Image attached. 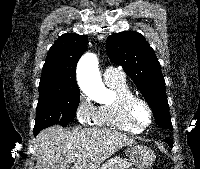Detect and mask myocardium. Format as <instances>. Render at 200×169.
I'll return each mask as SVG.
<instances>
[{
	"label": "myocardium",
	"instance_id": "obj_1",
	"mask_svg": "<svg viewBox=\"0 0 200 169\" xmlns=\"http://www.w3.org/2000/svg\"><path fill=\"white\" fill-rule=\"evenodd\" d=\"M143 105L149 114V120L146 124L142 125L138 122L136 115H135V109L137 107V105ZM125 113H126V117L127 120L129 121V123L136 129L143 131L146 130L148 127H150V125L153 122V110L152 107L150 106V104L143 98L138 97V96H132L130 98H128L125 102Z\"/></svg>",
	"mask_w": 200,
	"mask_h": 169
}]
</instances>
